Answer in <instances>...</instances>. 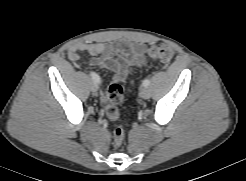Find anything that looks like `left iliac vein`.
I'll return each instance as SVG.
<instances>
[{"instance_id":"4c4485c4","label":"left iliac vein","mask_w":246,"mask_h":181,"mask_svg":"<svg viewBox=\"0 0 246 181\" xmlns=\"http://www.w3.org/2000/svg\"><path fill=\"white\" fill-rule=\"evenodd\" d=\"M140 96L144 99H148L150 98L151 96V91L150 89L147 87V86H143L141 89H140Z\"/></svg>"}]
</instances>
